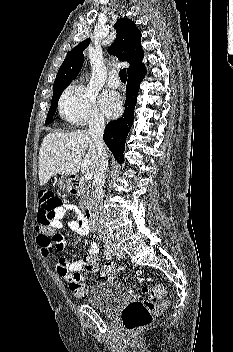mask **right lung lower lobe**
Listing matches in <instances>:
<instances>
[{
    "instance_id": "98d812e1",
    "label": "right lung lower lobe",
    "mask_w": 233,
    "mask_h": 352,
    "mask_svg": "<svg viewBox=\"0 0 233 352\" xmlns=\"http://www.w3.org/2000/svg\"><path fill=\"white\" fill-rule=\"evenodd\" d=\"M146 74V70L140 74L128 77L126 87L125 111L121 118L109 122L106 125L103 139L118 163L124 162L125 142L128 132L134 121V109L139 85Z\"/></svg>"
}]
</instances>
